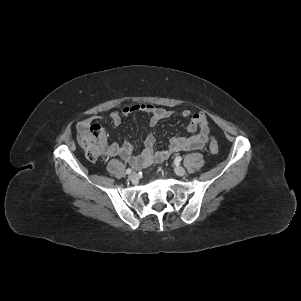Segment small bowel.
Segmentation results:
<instances>
[{"instance_id": "small-bowel-1", "label": "small bowel", "mask_w": 301, "mask_h": 301, "mask_svg": "<svg viewBox=\"0 0 301 301\" xmlns=\"http://www.w3.org/2000/svg\"><path fill=\"white\" fill-rule=\"evenodd\" d=\"M137 112L148 116L150 127H154L159 122L174 116L189 118L187 126L188 135L175 136L170 140L168 148L156 150L155 137L150 134L144 139L142 148L137 154H135V148L130 142H113L105 147L103 153L105 156H119L133 167L149 166L153 163H161L177 152L202 149L208 142L209 123L206 115L202 112L192 113L188 109L168 110L152 104L137 103L125 106L120 112H112L109 120L114 126H119L123 116H129ZM100 118L99 116H92L82 120L77 124V128L79 130L83 126Z\"/></svg>"}]
</instances>
